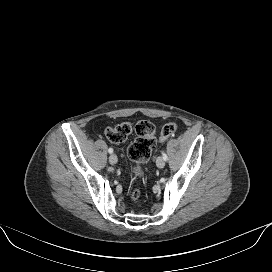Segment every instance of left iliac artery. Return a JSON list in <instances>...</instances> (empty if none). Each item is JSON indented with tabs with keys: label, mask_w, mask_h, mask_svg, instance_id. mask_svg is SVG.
<instances>
[{
	"label": "left iliac artery",
	"mask_w": 272,
	"mask_h": 272,
	"mask_svg": "<svg viewBox=\"0 0 272 272\" xmlns=\"http://www.w3.org/2000/svg\"><path fill=\"white\" fill-rule=\"evenodd\" d=\"M162 156H163L165 161L168 160V156L166 155V153L164 151H162Z\"/></svg>",
	"instance_id": "obj_1"
}]
</instances>
